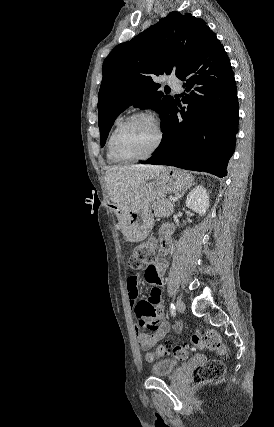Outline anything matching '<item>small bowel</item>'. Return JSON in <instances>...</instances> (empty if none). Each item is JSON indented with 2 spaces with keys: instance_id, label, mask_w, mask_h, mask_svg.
Returning a JSON list of instances; mask_svg holds the SVG:
<instances>
[{
  "instance_id": "small-bowel-1",
  "label": "small bowel",
  "mask_w": 274,
  "mask_h": 427,
  "mask_svg": "<svg viewBox=\"0 0 274 427\" xmlns=\"http://www.w3.org/2000/svg\"><path fill=\"white\" fill-rule=\"evenodd\" d=\"M154 269H146L145 276L134 275L127 279V298L131 306H133L139 297V285L145 278L150 284L154 285L153 289L148 292V299H139V304L135 305L133 312L134 326L143 327L145 332H155L152 335L141 332L138 328L135 329L139 347L143 350L144 345H155L161 340L171 329V324L164 318V312L160 306V289L163 285V277L168 268L166 259H159L154 262ZM150 278V279H148ZM176 331L181 329L180 323L173 325Z\"/></svg>"
}]
</instances>
